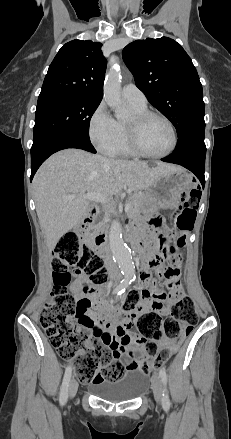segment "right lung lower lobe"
<instances>
[{
  "instance_id": "1",
  "label": "right lung lower lobe",
  "mask_w": 231,
  "mask_h": 439,
  "mask_svg": "<svg viewBox=\"0 0 231 439\" xmlns=\"http://www.w3.org/2000/svg\"><path fill=\"white\" fill-rule=\"evenodd\" d=\"M67 148H78L96 153L95 148L90 140L84 139L76 134L69 132H60L49 136L40 144L31 148V177L32 180L35 172L40 165L53 153Z\"/></svg>"
}]
</instances>
